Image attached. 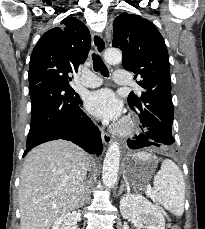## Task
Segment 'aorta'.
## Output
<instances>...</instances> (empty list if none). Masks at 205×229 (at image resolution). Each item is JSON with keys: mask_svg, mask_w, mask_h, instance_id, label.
<instances>
[{"mask_svg": "<svg viewBox=\"0 0 205 229\" xmlns=\"http://www.w3.org/2000/svg\"><path fill=\"white\" fill-rule=\"evenodd\" d=\"M104 60L108 64H117L122 61V53L119 49L109 48L104 52ZM120 161V146L118 142H112L107 149L102 171V181L107 188H113L117 182Z\"/></svg>", "mask_w": 205, "mask_h": 229, "instance_id": "1", "label": "aorta"}]
</instances>
